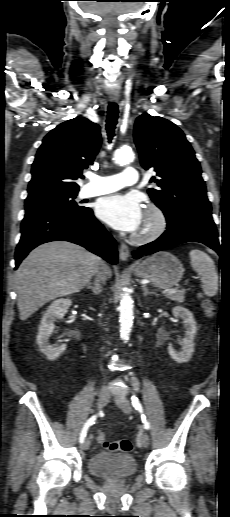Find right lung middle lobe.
I'll use <instances>...</instances> for the list:
<instances>
[{"mask_svg": "<svg viewBox=\"0 0 230 517\" xmlns=\"http://www.w3.org/2000/svg\"><path fill=\"white\" fill-rule=\"evenodd\" d=\"M78 192L54 195L38 200L25 201V210L58 209L69 212H80L86 209L85 206L77 205L74 201Z\"/></svg>", "mask_w": 230, "mask_h": 517, "instance_id": "right-lung-middle-lobe-1", "label": "right lung middle lobe"}]
</instances>
